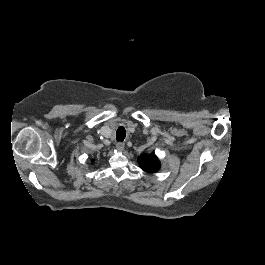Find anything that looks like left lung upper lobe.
I'll return each instance as SVG.
<instances>
[{
  "label": "left lung upper lobe",
  "mask_w": 265,
  "mask_h": 265,
  "mask_svg": "<svg viewBox=\"0 0 265 265\" xmlns=\"http://www.w3.org/2000/svg\"><path fill=\"white\" fill-rule=\"evenodd\" d=\"M140 167L149 173L157 172L160 168V162L155 154H143L138 159Z\"/></svg>",
  "instance_id": "1"
}]
</instances>
